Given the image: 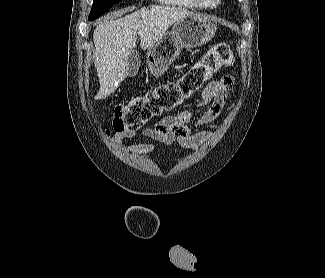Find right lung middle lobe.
<instances>
[{
  "mask_svg": "<svg viewBox=\"0 0 325 278\" xmlns=\"http://www.w3.org/2000/svg\"><path fill=\"white\" fill-rule=\"evenodd\" d=\"M119 1L121 0H94L88 19L92 21L98 18L102 13L107 11L113 4Z\"/></svg>",
  "mask_w": 325,
  "mask_h": 278,
  "instance_id": "1",
  "label": "right lung middle lobe"
}]
</instances>
